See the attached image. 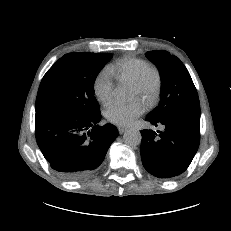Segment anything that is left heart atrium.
<instances>
[{"label":"left heart atrium","instance_id":"1","mask_svg":"<svg viewBox=\"0 0 231 231\" xmlns=\"http://www.w3.org/2000/svg\"><path fill=\"white\" fill-rule=\"evenodd\" d=\"M144 104L140 100L130 103L112 102L106 108L107 119L117 125H131L144 112Z\"/></svg>","mask_w":231,"mask_h":231}]
</instances>
